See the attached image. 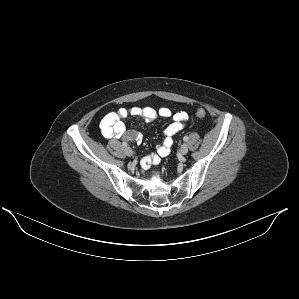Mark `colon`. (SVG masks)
I'll use <instances>...</instances> for the list:
<instances>
[{
    "instance_id": "5ec220e1",
    "label": "colon",
    "mask_w": 299,
    "mask_h": 299,
    "mask_svg": "<svg viewBox=\"0 0 299 299\" xmlns=\"http://www.w3.org/2000/svg\"><path fill=\"white\" fill-rule=\"evenodd\" d=\"M196 116L198 118H204L206 116V111L204 109H198L196 111Z\"/></svg>"
}]
</instances>
